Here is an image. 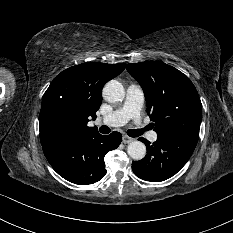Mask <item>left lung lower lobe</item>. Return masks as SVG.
I'll return each mask as SVG.
<instances>
[{
  "label": "left lung lower lobe",
  "mask_w": 233,
  "mask_h": 233,
  "mask_svg": "<svg viewBox=\"0 0 233 233\" xmlns=\"http://www.w3.org/2000/svg\"><path fill=\"white\" fill-rule=\"evenodd\" d=\"M147 155L141 161L132 162L133 172L141 179L164 181L175 175L191 157L198 139L191 136L157 137L150 145L144 138Z\"/></svg>",
  "instance_id": "1"
}]
</instances>
